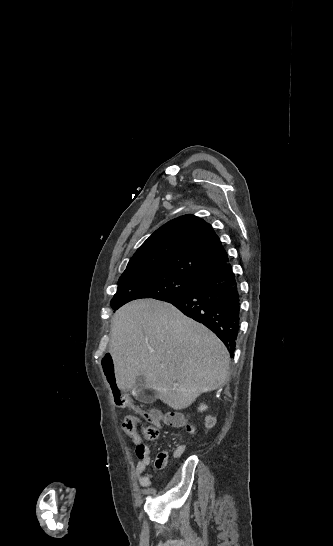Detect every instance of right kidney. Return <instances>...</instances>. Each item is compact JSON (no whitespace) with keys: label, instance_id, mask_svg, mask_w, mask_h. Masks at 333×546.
<instances>
[{"label":"right kidney","instance_id":"obj_1","mask_svg":"<svg viewBox=\"0 0 333 546\" xmlns=\"http://www.w3.org/2000/svg\"><path fill=\"white\" fill-rule=\"evenodd\" d=\"M206 408H207V406L201 405L200 408H199V410H200V411H203V410H205Z\"/></svg>","mask_w":333,"mask_h":546}]
</instances>
